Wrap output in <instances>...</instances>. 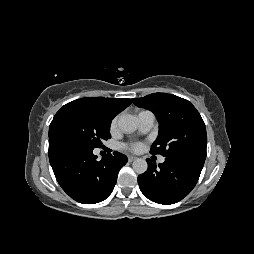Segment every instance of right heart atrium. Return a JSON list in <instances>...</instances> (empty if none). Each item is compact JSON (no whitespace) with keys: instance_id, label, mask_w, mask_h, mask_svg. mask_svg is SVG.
<instances>
[{"instance_id":"obj_1","label":"right heart atrium","mask_w":254,"mask_h":254,"mask_svg":"<svg viewBox=\"0 0 254 254\" xmlns=\"http://www.w3.org/2000/svg\"><path fill=\"white\" fill-rule=\"evenodd\" d=\"M117 125H118V116L114 117L110 123L111 133H114L116 131Z\"/></svg>"}]
</instances>
